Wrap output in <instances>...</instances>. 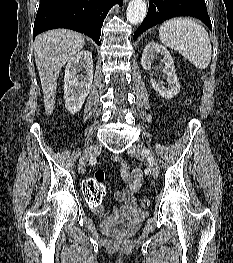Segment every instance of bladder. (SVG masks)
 <instances>
[{"mask_svg": "<svg viewBox=\"0 0 233 263\" xmlns=\"http://www.w3.org/2000/svg\"><path fill=\"white\" fill-rule=\"evenodd\" d=\"M147 217V212L137 209H125L105 218L101 228L106 234L128 237L135 233L142 221Z\"/></svg>", "mask_w": 233, "mask_h": 263, "instance_id": "31cf9c89", "label": "bladder"}]
</instances>
